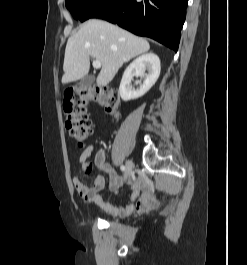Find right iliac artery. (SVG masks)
Wrapping results in <instances>:
<instances>
[{
	"instance_id": "right-iliac-artery-1",
	"label": "right iliac artery",
	"mask_w": 247,
	"mask_h": 265,
	"mask_svg": "<svg viewBox=\"0 0 247 265\" xmlns=\"http://www.w3.org/2000/svg\"><path fill=\"white\" fill-rule=\"evenodd\" d=\"M120 169H121L122 171H124V170H125V166L122 165V166L120 167Z\"/></svg>"
}]
</instances>
